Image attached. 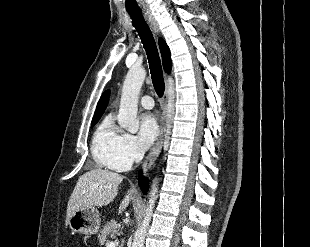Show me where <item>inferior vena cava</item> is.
Masks as SVG:
<instances>
[{
	"mask_svg": "<svg viewBox=\"0 0 310 247\" xmlns=\"http://www.w3.org/2000/svg\"><path fill=\"white\" fill-rule=\"evenodd\" d=\"M143 156H144V151L138 148L134 154L135 161L139 162L140 160H142Z\"/></svg>",
	"mask_w": 310,
	"mask_h": 247,
	"instance_id": "1",
	"label": "inferior vena cava"
}]
</instances>
